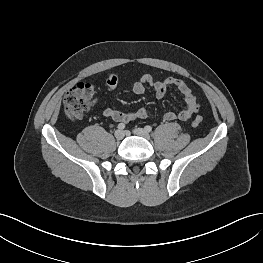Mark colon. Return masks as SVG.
<instances>
[{
  "label": "colon",
  "mask_w": 263,
  "mask_h": 263,
  "mask_svg": "<svg viewBox=\"0 0 263 263\" xmlns=\"http://www.w3.org/2000/svg\"><path fill=\"white\" fill-rule=\"evenodd\" d=\"M94 95V86L90 83H78L67 91L64 96V108L71 120H80L89 109ZM201 118L193 121L194 126L200 125Z\"/></svg>",
  "instance_id": "obj_1"
}]
</instances>
